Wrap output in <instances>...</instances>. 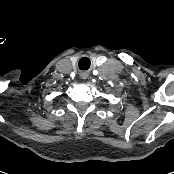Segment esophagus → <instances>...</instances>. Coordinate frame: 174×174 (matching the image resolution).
I'll use <instances>...</instances> for the list:
<instances>
[{
  "instance_id": "obj_1",
  "label": "esophagus",
  "mask_w": 174,
  "mask_h": 174,
  "mask_svg": "<svg viewBox=\"0 0 174 174\" xmlns=\"http://www.w3.org/2000/svg\"><path fill=\"white\" fill-rule=\"evenodd\" d=\"M82 77H83V79H86L87 75L86 74H83Z\"/></svg>"
}]
</instances>
